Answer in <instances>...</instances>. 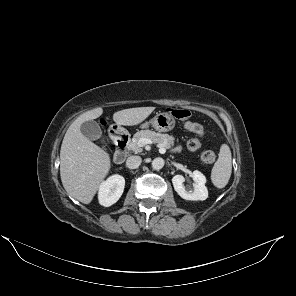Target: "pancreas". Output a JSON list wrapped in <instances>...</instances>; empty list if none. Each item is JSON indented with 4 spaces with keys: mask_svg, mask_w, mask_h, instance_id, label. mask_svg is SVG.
Segmentation results:
<instances>
[{
    "mask_svg": "<svg viewBox=\"0 0 296 296\" xmlns=\"http://www.w3.org/2000/svg\"><path fill=\"white\" fill-rule=\"evenodd\" d=\"M141 138L150 139L153 143H157L160 147H164L166 149L171 148L174 145L175 140V138L169 134H162L151 130H142L134 134L131 142L129 143V149L134 153L142 152V148L138 144Z\"/></svg>",
    "mask_w": 296,
    "mask_h": 296,
    "instance_id": "1",
    "label": "pancreas"
}]
</instances>
